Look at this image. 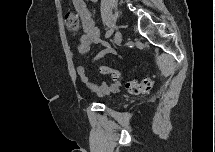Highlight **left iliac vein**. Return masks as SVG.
Instances as JSON below:
<instances>
[{"label":"left iliac vein","mask_w":215,"mask_h":152,"mask_svg":"<svg viewBox=\"0 0 215 152\" xmlns=\"http://www.w3.org/2000/svg\"><path fill=\"white\" fill-rule=\"evenodd\" d=\"M121 42H122V34H121L120 31H117V32L115 33V35H114V43H115L116 45H120Z\"/></svg>","instance_id":"obj_1"}]
</instances>
